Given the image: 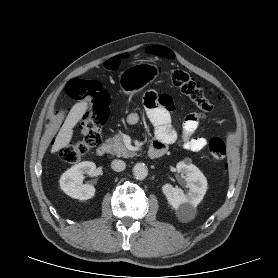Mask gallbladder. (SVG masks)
<instances>
[{
	"label": "gallbladder",
	"instance_id": "obj_1",
	"mask_svg": "<svg viewBox=\"0 0 278 278\" xmlns=\"http://www.w3.org/2000/svg\"><path fill=\"white\" fill-rule=\"evenodd\" d=\"M93 115V113H92V111L90 112V116H92Z\"/></svg>",
	"mask_w": 278,
	"mask_h": 278
}]
</instances>
